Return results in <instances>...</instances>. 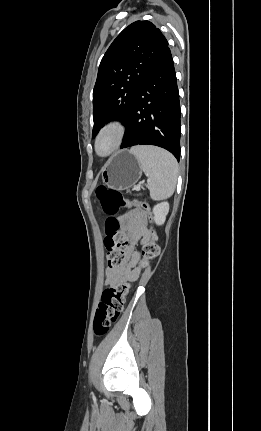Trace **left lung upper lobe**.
Returning a JSON list of instances; mask_svg holds the SVG:
<instances>
[{
  "label": "left lung upper lobe",
  "mask_w": 261,
  "mask_h": 431,
  "mask_svg": "<svg viewBox=\"0 0 261 431\" xmlns=\"http://www.w3.org/2000/svg\"><path fill=\"white\" fill-rule=\"evenodd\" d=\"M167 47L149 21H136L117 36L101 60L93 90V137L113 119L126 124L142 82Z\"/></svg>",
  "instance_id": "5c2ea615"
}]
</instances>
